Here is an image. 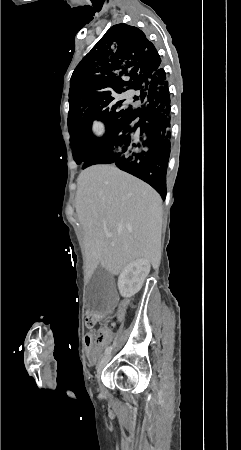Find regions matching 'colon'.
<instances>
[{
  "label": "colon",
  "mask_w": 241,
  "mask_h": 450,
  "mask_svg": "<svg viewBox=\"0 0 241 450\" xmlns=\"http://www.w3.org/2000/svg\"><path fill=\"white\" fill-rule=\"evenodd\" d=\"M114 314L117 312L115 309L112 311ZM98 313L94 310L92 313H86L84 315V324L89 328H94L96 323H98Z\"/></svg>",
  "instance_id": "obj_1"
}]
</instances>
